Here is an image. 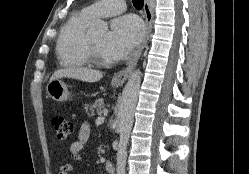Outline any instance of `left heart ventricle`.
I'll return each mask as SVG.
<instances>
[{
	"label": "left heart ventricle",
	"instance_id": "left-heart-ventricle-1",
	"mask_svg": "<svg viewBox=\"0 0 249 174\" xmlns=\"http://www.w3.org/2000/svg\"><path fill=\"white\" fill-rule=\"evenodd\" d=\"M107 36H108L107 32H101V33L91 35L98 57L106 62L109 60L107 52H106V48H105V42H106Z\"/></svg>",
	"mask_w": 249,
	"mask_h": 174
}]
</instances>
